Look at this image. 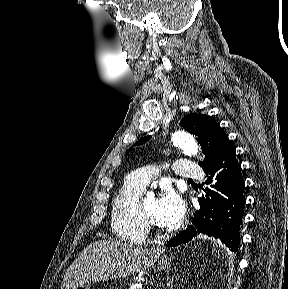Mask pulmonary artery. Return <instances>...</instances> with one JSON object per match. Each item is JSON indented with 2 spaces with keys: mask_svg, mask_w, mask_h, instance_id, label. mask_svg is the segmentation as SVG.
Masks as SVG:
<instances>
[{
  "mask_svg": "<svg viewBox=\"0 0 288 289\" xmlns=\"http://www.w3.org/2000/svg\"><path fill=\"white\" fill-rule=\"evenodd\" d=\"M173 169L175 174L181 178L201 179L204 176L203 171L194 162L186 159L175 161ZM158 173V168L146 166L133 171L126 179L139 187L145 188Z\"/></svg>",
  "mask_w": 288,
  "mask_h": 289,
  "instance_id": "e3ab8cb5",
  "label": "pulmonary artery"
}]
</instances>
